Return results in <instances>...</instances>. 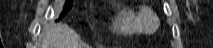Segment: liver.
Returning <instances> with one entry per match:
<instances>
[{
    "label": "liver",
    "mask_w": 213,
    "mask_h": 48,
    "mask_svg": "<svg viewBox=\"0 0 213 48\" xmlns=\"http://www.w3.org/2000/svg\"><path fill=\"white\" fill-rule=\"evenodd\" d=\"M41 48H86L79 35L66 24L51 26L46 31Z\"/></svg>",
    "instance_id": "liver-1"
}]
</instances>
